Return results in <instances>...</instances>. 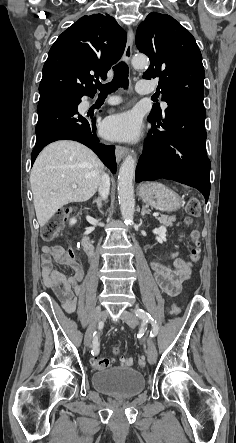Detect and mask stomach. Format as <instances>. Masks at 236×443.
I'll use <instances>...</instances> for the list:
<instances>
[{
	"label": "stomach",
	"mask_w": 236,
	"mask_h": 443,
	"mask_svg": "<svg viewBox=\"0 0 236 443\" xmlns=\"http://www.w3.org/2000/svg\"><path fill=\"white\" fill-rule=\"evenodd\" d=\"M139 196L145 204L163 212H172L182 206V201L176 192L157 182L141 185Z\"/></svg>",
	"instance_id": "0dacf381"
}]
</instances>
